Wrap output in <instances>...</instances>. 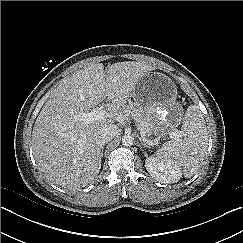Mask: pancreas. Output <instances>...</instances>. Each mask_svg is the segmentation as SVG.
I'll return each instance as SVG.
<instances>
[{
	"instance_id": "pancreas-1",
	"label": "pancreas",
	"mask_w": 243,
	"mask_h": 243,
	"mask_svg": "<svg viewBox=\"0 0 243 243\" xmlns=\"http://www.w3.org/2000/svg\"><path fill=\"white\" fill-rule=\"evenodd\" d=\"M125 116H132L143 134L151 135V124L146 115L133 105H127L123 109Z\"/></svg>"
}]
</instances>
